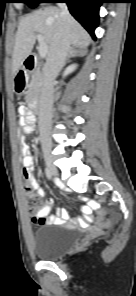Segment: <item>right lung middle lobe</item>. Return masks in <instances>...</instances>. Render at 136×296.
I'll list each match as a JSON object with an SVG mask.
<instances>
[{
	"mask_svg": "<svg viewBox=\"0 0 136 296\" xmlns=\"http://www.w3.org/2000/svg\"><path fill=\"white\" fill-rule=\"evenodd\" d=\"M21 3L29 4L30 7H35L38 3H44L47 2V0H19Z\"/></svg>",
	"mask_w": 136,
	"mask_h": 296,
	"instance_id": "right-lung-middle-lobe-1",
	"label": "right lung middle lobe"
}]
</instances>
